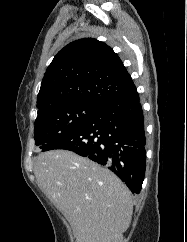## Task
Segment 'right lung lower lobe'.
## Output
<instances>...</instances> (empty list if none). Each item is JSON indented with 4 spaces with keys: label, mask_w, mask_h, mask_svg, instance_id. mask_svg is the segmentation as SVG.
I'll return each mask as SVG.
<instances>
[{
    "label": "right lung lower lobe",
    "mask_w": 187,
    "mask_h": 242,
    "mask_svg": "<svg viewBox=\"0 0 187 242\" xmlns=\"http://www.w3.org/2000/svg\"><path fill=\"white\" fill-rule=\"evenodd\" d=\"M65 149L113 171L132 191L146 167L144 117L136 90L105 103L91 118L43 151Z\"/></svg>",
    "instance_id": "1"
}]
</instances>
